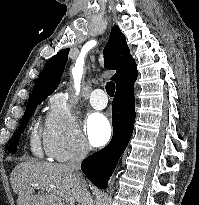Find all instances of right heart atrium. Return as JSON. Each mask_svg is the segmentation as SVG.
<instances>
[{
    "label": "right heart atrium",
    "instance_id": "1",
    "mask_svg": "<svg viewBox=\"0 0 199 205\" xmlns=\"http://www.w3.org/2000/svg\"><path fill=\"white\" fill-rule=\"evenodd\" d=\"M42 138L46 154L54 161L83 158L90 151L68 102L59 96L50 101Z\"/></svg>",
    "mask_w": 199,
    "mask_h": 205
}]
</instances>
